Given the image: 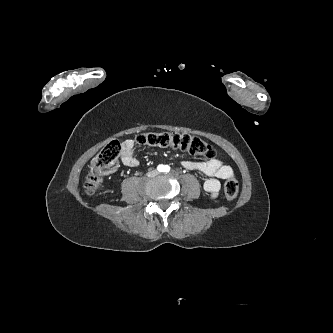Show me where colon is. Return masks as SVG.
<instances>
[{
    "mask_svg": "<svg viewBox=\"0 0 333 333\" xmlns=\"http://www.w3.org/2000/svg\"><path fill=\"white\" fill-rule=\"evenodd\" d=\"M136 143L144 146L172 147L186 151L192 155L206 159L215 156L214 149L196 136L173 132H149L137 135ZM121 144L112 141L107 144L92 160L90 171L86 177L84 188L86 193L94 194L101 184L103 175L113 172L119 165ZM239 191V185L234 177L227 178L224 184V194L228 201H233Z\"/></svg>",
    "mask_w": 333,
    "mask_h": 333,
    "instance_id": "obj_1",
    "label": "colon"
}]
</instances>
